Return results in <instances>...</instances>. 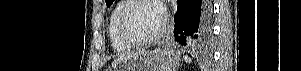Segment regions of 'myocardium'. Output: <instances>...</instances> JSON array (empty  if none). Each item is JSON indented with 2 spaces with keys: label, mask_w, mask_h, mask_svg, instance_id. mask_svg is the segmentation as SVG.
I'll list each match as a JSON object with an SVG mask.
<instances>
[{
  "label": "myocardium",
  "mask_w": 301,
  "mask_h": 71,
  "mask_svg": "<svg viewBox=\"0 0 301 71\" xmlns=\"http://www.w3.org/2000/svg\"><path fill=\"white\" fill-rule=\"evenodd\" d=\"M142 2H148V3H151L155 6H157L163 14V22H162L160 29L157 31V33H155L154 35L147 37V38L138 39V38L133 37L130 34V32L128 31L127 17H128L130 10L134 6H136L137 4L142 3ZM167 25H168L167 14L163 10L162 6L160 5V2L154 1V0H130V1H128L127 4L125 5V7L123 8V10L121 11L120 16H119V21H118V29H119L120 36L123 38L124 41H126L128 44H130L132 46H146V45H149V44L159 41L166 31Z\"/></svg>",
  "instance_id": "myocardium-1"
}]
</instances>
